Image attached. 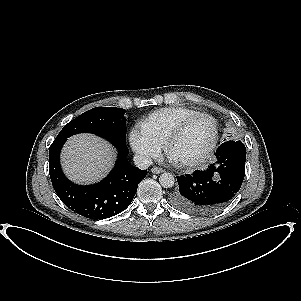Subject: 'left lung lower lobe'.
<instances>
[{"label": "left lung lower lobe", "instance_id": "obj_1", "mask_svg": "<svg viewBox=\"0 0 301 301\" xmlns=\"http://www.w3.org/2000/svg\"><path fill=\"white\" fill-rule=\"evenodd\" d=\"M216 157L208 169L177 177L179 188L171 197L174 206L209 214L231 202L244 179L246 148L241 141H227L219 146Z\"/></svg>", "mask_w": 301, "mask_h": 301}]
</instances>
